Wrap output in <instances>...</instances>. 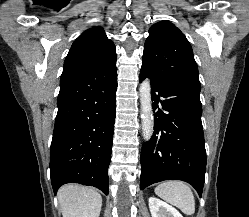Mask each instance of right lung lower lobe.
<instances>
[{"mask_svg": "<svg viewBox=\"0 0 249 217\" xmlns=\"http://www.w3.org/2000/svg\"><path fill=\"white\" fill-rule=\"evenodd\" d=\"M116 89V59L101 68L62 73L50 148L55 194L69 182L108 194Z\"/></svg>", "mask_w": 249, "mask_h": 217, "instance_id": "obj_1", "label": "right lung lower lobe"}]
</instances>
